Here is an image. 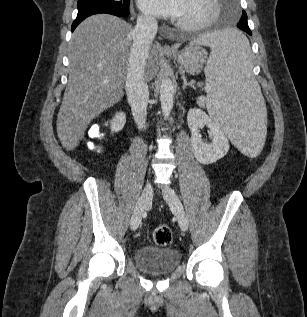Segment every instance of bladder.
I'll use <instances>...</instances> for the list:
<instances>
[{"mask_svg": "<svg viewBox=\"0 0 307 317\" xmlns=\"http://www.w3.org/2000/svg\"><path fill=\"white\" fill-rule=\"evenodd\" d=\"M137 267L147 275H164L172 272L181 262V256L173 248L140 247L134 253Z\"/></svg>", "mask_w": 307, "mask_h": 317, "instance_id": "obj_1", "label": "bladder"}]
</instances>
